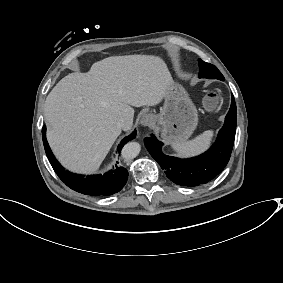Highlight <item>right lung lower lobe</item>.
<instances>
[{"label": "right lung lower lobe", "mask_w": 283, "mask_h": 283, "mask_svg": "<svg viewBox=\"0 0 283 283\" xmlns=\"http://www.w3.org/2000/svg\"><path fill=\"white\" fill-rule=\"evenodd\" d=\"M136 131L125 137L118 146L120 154L122 147L135 138ZM42 138L47 158L58 177L76 192L91 196H108L119 192L127 182L128 171L115 164V168L105 174L84 176L65 170L54 157L46 139V126L42 129ZM118 163V162H117Z\"/></svg>", "instance_id": "right-lung-lower-lobe-1"}]
</instances>
